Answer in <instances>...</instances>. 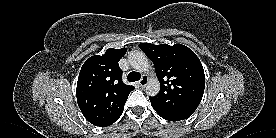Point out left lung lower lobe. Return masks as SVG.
I'll list each match as a JSON object with an SVG mask.
<instances>
[{"mask_svg": "<svg viewBox=\"0 0 276 138\" xmlns=\"http://www.w3.org/2000/svg\"><path fill=\"white\" fill-rule=\"evenodd\" d=\"M162 118L166 119V120H169V121H179V120H183V119H176V118H170V117H167V116H164V115H160Z\"/></svg>", "mask_w": 276, "mask_h": 138, "instance_id": "obj_1", "label": "left lung lower lobe"}]
</instances>
